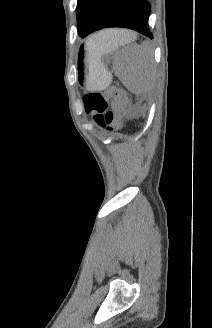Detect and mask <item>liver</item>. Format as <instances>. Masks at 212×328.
<instances>
[{"label": "liver", "instance_id": "liver-1", "mask_svg": "<svg viewBox=\"0 0 212 328\" xmlns=\"http://www.w3.org/2000/svg\"><path fill=\"white\" fill-rule=\"evenodd\" d=\"M110 35L115 42L128 43L136 38V35L127 30L114 29L110 30Z\"/></svg>", "mask_w": 212, "mask_h": 328}]
</instances>
